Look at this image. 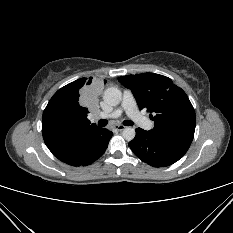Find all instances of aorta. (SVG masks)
<instances>
[{"mask_svg":"<svg viewBox=\"0 0 233 233\" xmlns=\"http://www.w3.org/2000/svg\"><path fill=\"white\" fill-rule=\"evenodd\" d=\"M104 101L111 106H117L122 100V93L116 87L107 88L103 94ZM135 129L132 127H126L123 130V137L127 141H131L135 137Z\"/></svg>","mask_w":233,"mask_h":233,"instance_id":"aorta-1","label":"aorta"}]
</instances>
